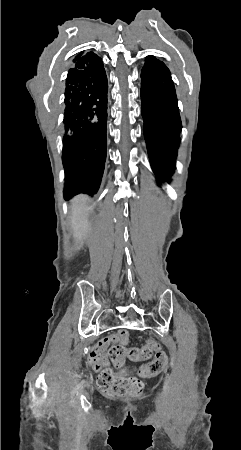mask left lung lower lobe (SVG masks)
<instances>
[{
    "label": "left lung lower lobe",
    "mask_w": 241,
    "mask_h": 450,
    "mask_svg": "<svg viewBox=\"0 0 241 450\" xmlns=\"http://www.w3.org/2000/svg\"><path fill=\"white\" fill-rule=\"evenodd\" d=\"M140 94L150 163L157 177L168 181L175 167L182 124L170 71L154 56L146 57Z\"/></svg>",
    "instance_id": "obj_1"
}]
</instances>
